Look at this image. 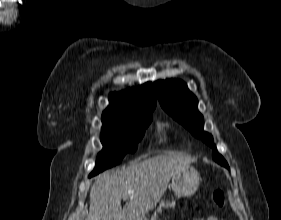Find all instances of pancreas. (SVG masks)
<instances>
[{"mask_svg": "<svg viewBox=\"0 0 281 220\" xmlns=\"http://www.w3.org/2000/svg\"><path fill=\"white\" fill-rule=\"evenodd\" d=\"M175 207V201L169 202V201H161L159 206L157 207L154 216L151 218V220H157V215L162 213V208H174Z\"/></svg>", "mask_w": 281, "mask_h": 220, "instance_id": "obj_1", "label": "pancreas"}]
</instances>
